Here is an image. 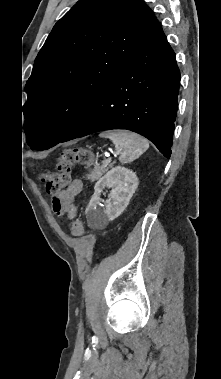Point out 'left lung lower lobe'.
Masks as SVG:
<instances>
[{
  "label": "left lung lower lobe",
  "mask_w": 221,
  "mask_h": 379,
  "mask_svg": "<svg viewBox=\"0 0 221 379\" xmlns=\"http://www.w3.org/2000/svg\"><path fill=\"white\" fill-rule=\"evenodd\" d=\"M179 83L175 53L158 24L60 142L103 130L127 129L148 138L170 158Z\"/></svg>",
  "instance_id": "0a47b994"
}]
</instances>
